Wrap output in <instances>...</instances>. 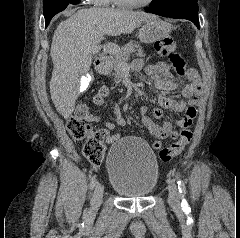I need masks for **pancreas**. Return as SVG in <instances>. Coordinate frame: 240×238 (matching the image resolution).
Returning a JSON list of instances; mask_svg holds the SVG:
<instances>
[{
  "label": "pancreas",
  "instance_id": "cf45deb5",
  "mask_svg": "<svg viewBox=\"0 0 240 238\" xmlns=\"http://www.w3.org/2000/svg\"><path fill=\"white\" fill-rule=\"evenodd\" d=\"M135 54L139 57H145L142 48L136 43L130 42L123 47H121L115 58L113 60L114 63V81L115 83H119L122 80V69L127 66V61L131 54Z\"/></svg>",
  "mask_w": 240,
  "mask_h": 238
}]
</instances>
